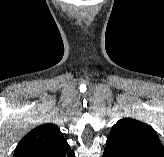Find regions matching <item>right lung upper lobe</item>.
I'll return each instance as SVG.
<instances>
[{"mask_svg":"<svg viewBox=\"0 0 164 157\" xmlns=\"http://www.w3.org/2000/svg\"><path fill=\"white\" fill-rule=\"evenodd\" d=\"M64 141L63 134L56 125L43 124L20 140L13 157H39Z\"/></svg>","mask_w":164,"mask_h":157,"instance_id":"obj_1","label":"right lung upper lobe"}]
</instances>
